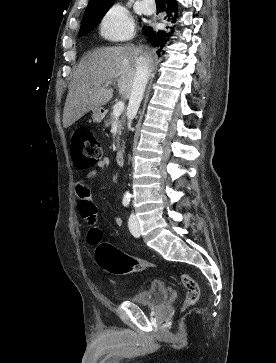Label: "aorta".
I'll list each match as a JSON object with an SVG mask.
<instances>
[{
  "label": "aorta",
  "instance_id": "aorta-1",
  "mask_svg": "<svg viewBox=\"0 0 276 363\" xmlns=\"http://www.w3.org/2000/svg\"><path fill=\"white\" fill-rule=\"evenodd\" d=\"M124 199H126V200H129L130 199V193L129 192H126L124 194Z\"/></svg>",
  "mask_w": 276,
  "mask_h": 363
}]
</instances>
